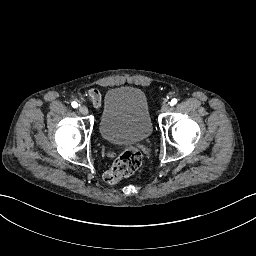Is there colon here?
<instances>
[{
    "label": "colon",
    "instance_id": "obj_1",
    "mask_svg": "<svg viewBox=\"0 0 256 256\" xmlns=\"http://www.w3.org/2000/svg\"><path fill=\"white\" fill-rule=\"evenodd\" d=\"M142 163V153L137 148L129 147L115 157L113 166L103 175V180L114 184L123 177L133 175Z\"/></svg>",
    "mask_w": 256,
    "mask_h": 256
}]
</instances>
